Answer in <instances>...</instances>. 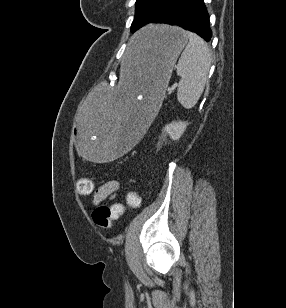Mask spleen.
Here are the masks:
<instances>
[{
  "label": "spleen",
  "mask_w": 286,
  "mask_h": 308,
  "mask_svg": "<svg viewBox=\"0 0 286 308\" xmlns=\"http://www.w3.org/2000/svg\"><path fill=\"white\" fill-rule=\"evenodd\" d=\"M189 43L177 64V99L186 109L196 105L203 93L211 66V53L207 44L195 33L186 31Z\"/></svg>",
  "instance_id": "3e777b00"
}]
</instances>
